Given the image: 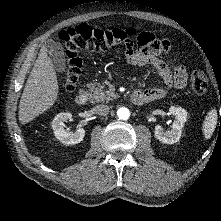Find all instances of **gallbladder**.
I'll return each instance as SVG.
<instances>
[{
  "label": "gallbladder",
  "instance_id": "obj_1",
  "mask_svg": "<svg viewBox=\"0 0 221 221\" xmlns=\"http://www.w3.org/2000/svg\"><path fill=\"white\" fill-rule=\"evenodd\" d=\"M45 46L55 70L60 73L64 72L66 59L62 44L58 41L48 40Z\"/></svg>",
  "mask_w": 221,
  "mask_h": 221
}]
</instances>
